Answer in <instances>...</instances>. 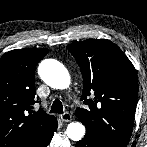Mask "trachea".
<instances>
[{"label":"trachea","mask_w":147,"mask_h":147,"mask_svg":"<svg viewBox=\"0 0 147 147\" xmlns=\"http://www.w3.org/2000/svg\"><path fill=\"white\" fill-rule=\"evenodd\" d=\"M50 113H58V114L63 113V105H62V102L60 100L56 99L53 102V104L51 106Z\"/></svg>","instance_id":"trachea-1"}]
</instances>
